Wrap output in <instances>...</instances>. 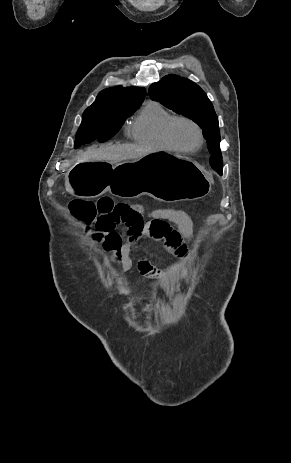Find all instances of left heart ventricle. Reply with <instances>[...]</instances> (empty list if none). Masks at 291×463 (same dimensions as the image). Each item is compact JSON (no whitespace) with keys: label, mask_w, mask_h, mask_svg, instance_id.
Listing matches in <instances>:
<instances>
[{"label":"left heart ventricle","mask_w":291,"mask_h":463,"mask_svg":"<svg viewBox=\"0 0 291 463\" xmlns=\"http://www.w3.org/2000/svg\"><path fill=\"white\" fill-rule=\"evenodd\" d=\"M175 140L185 148H192L197 144L198 136L195 128L188 123H177L173 130Z\"/></svg>","instance_id":"left-heart-ventricle-1"}]
</instances>
